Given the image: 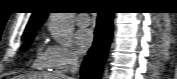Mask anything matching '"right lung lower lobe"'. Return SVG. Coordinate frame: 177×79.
<instances>
[{
    "label": "right lung lower lobe",
    "mask_w": 177,
    "mask_h": 79,
    "mask_svg": "<svg viewBox=\"0 0 177 79\" xmlns=\"http://www.w3.org/2000/svg\"><path fill=\"white\" fill-rule=\"evenodd\" d=\"M112 13L99 12L93 46L81 67L82 79H100L112 37Z\"/></svg>",
    "instance_id": "1"
}]
</instances>
